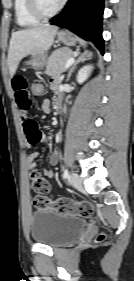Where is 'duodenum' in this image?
Segmentation results:
<instances>
[{
  "label": "duodenum",
  "mask_w": 134,
  "mask_h": 281,
  "mask_svg": "<svg viewBox=\"0 0 134 281\" xmlns=\"http://www.w3.org/2000/svg\"><path fill=\"white\" fill-rule=\"evenodd\" d=\"M57 108L60 110V111H63L64 110V106H63V103H62V100L59 98L57 100Z\"/></svg>",
  "instance_id": "obj_1"
}]
</instances>
